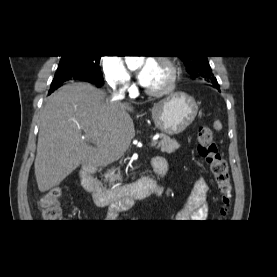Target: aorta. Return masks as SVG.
<instances>
[{
    "instance_id": "aorta-1",
    "label": "aorta",
    "mask_w": 277,
    "mask_h": 277,
    "mask_svg": "<svg viewBox=\"0 0 277 277\" xmlns=\"http://www.w3.org/2000/svg\"><path fill=\"white\" fill-rule=\"evenodd\" d=\"M140 60V56H126V63L128 66L138 65Z\"/></svg>"
}]
</instances>
